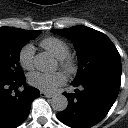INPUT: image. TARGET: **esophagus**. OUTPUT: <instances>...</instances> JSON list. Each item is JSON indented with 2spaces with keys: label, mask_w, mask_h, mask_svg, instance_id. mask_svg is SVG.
Masks as SVG:
<instances>
[{
  "label": "esophagus",
  "mask_w": 128,
  "mask_h": 128,
  "mask_svg": "<svg viewBox=\"0 0 128 128\" xmlns=\"http://www.w3.org/2000/svg\"><path fill=\"white\" fill-rule=\"evenodd\" d=\"M40 94H41L42 97H46V98H51L53 96L52 93H47V92H44V91H41Z\"/></svg>",
  "instance_id": "obj_1"
}]
</instances>
